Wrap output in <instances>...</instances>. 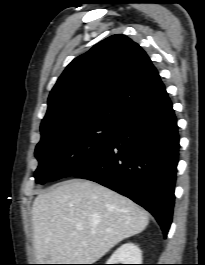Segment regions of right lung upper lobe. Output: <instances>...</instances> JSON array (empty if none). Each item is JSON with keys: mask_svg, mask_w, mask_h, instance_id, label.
Wrapping results in <instances>:
<instances>
[{"mask_svg": "<svg viewBox=\"0 0 205 265\" xmlns=\"http://www.w3.org/2000/svg\"><path fill=\"white\" fill-rule=\"evenodd\" d=\"M164 92L146 52L116 34L67 66L50 92L40 129L62 133L96 122L119 124L151 106Z\"/></svg>", "mask_w": 205, "mask_h": 265, "instance_id": "1", "label": "right lung upper lobe"}]
</instances>
